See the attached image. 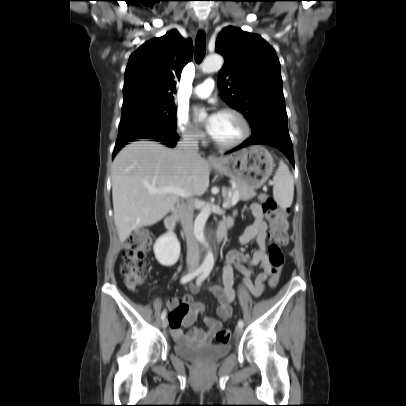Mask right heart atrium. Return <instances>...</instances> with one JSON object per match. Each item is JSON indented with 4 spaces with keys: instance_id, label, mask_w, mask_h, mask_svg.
<instances>
[{
    "instance_id": "right-heart-atrium-1",
    "label": "right heart atrium",
    "mask_w": 406,
    "mask_h": 406,
    "mask_svg": "<svg viewBox=\"0 0 406 406\" xmlns=\"http://www.w3.org/2000/svg\"><path fill=\"white\" fill-rule=\"evenodd\" d=\"M176 130L188 142H199L204 139V135L189 123L188 118L184 114H178Z\"/></svg>"
}]
</instances>
